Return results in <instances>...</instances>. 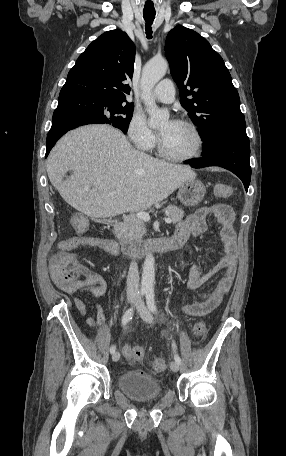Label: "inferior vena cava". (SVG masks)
Segmentation results:
<instances>
[{
    "instance_id": "602c4592",
    "label": "inferior vena cava",
    "mask_w": 286,
    "mask_h": 456,
    "mask_svg": "<svg viewBox=\"0 0 286 456\" xmlns=\"http://www.w3.org/2000/svg\"><path fill=\"white\" fill-rule=\"evenodd\" d=\"M127 296L138 297L139 292V272L138 265L134 261L130 263L128 276H127Z\"/></svg>"
}]
</instances>
